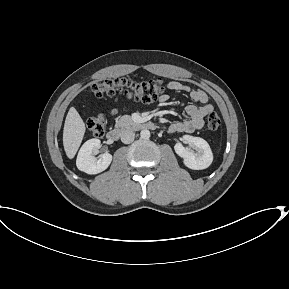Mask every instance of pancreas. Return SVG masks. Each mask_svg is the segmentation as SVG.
<instances>
[{"label": "pancreas", "mask_w": 289, "mask_h": 289, "mask_svg": "<svg viewBox=\"0 0 289 289\" xmlns=\"http://www.w3.org/2000/svg\"><path fill=\"white\" fill-rule=\"evenodd\" d=\"M134 125V122L130 115H123L116 121L117 127H129Z\"/></svg>", "instance_id": "obj_1"}]
</instances>
